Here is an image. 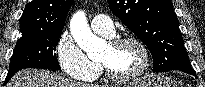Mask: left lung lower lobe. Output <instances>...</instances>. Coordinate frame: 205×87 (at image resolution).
Segmentation results:
<instances>
[{"label":"left lung lower lobe","mask_w":205,"mask_h":87,"mask_svg":"<svg viewBox=\"0 0 205 87\" xmlns=\"http://www.w3.org/2000/svg\"><path fill=\"white\" fill-rule=\"evenodd\" d=\"M177 70L182 71V72H185V73H187V74H191V75L197 77V76H196V73H195V71H194V69H193L192 67L179 68V69H177Z\"/></svg>","instance_id":"obj_1"}]
</instances>
